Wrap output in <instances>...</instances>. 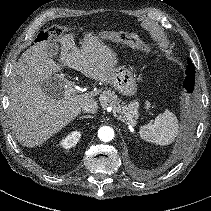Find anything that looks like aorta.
Listing matches in <instances>:
<instances>
[{"label":"aorta","mask_w":211,"mask_h":211,"mask_svg":"<svg viewBox=\"0 0 211 211\" xmlns=\"http://www.w3.org/2000/svg\"><path fill=\"white\" fill-rule=\"evenodd\" d=\"M98 137L103 142H109L114 138V130L109 126H103L98 130Z\"/></svg>","instance_id":"762f6f07"}]
</instances>
